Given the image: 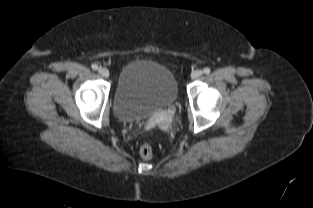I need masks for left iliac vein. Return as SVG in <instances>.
I'll return each instance as SVG.
<instances>
[{
  "instance_id": "1",
  "label": "left iliac vein",
  "mask_w": 313,
  "mask_h": 208,
  "mask_svg": "<svg viewBox=\"0 0 313 208\" xmlns=\"http://www.w3.org/2000/svg\"><path fill=\"white\" fill-rule=\"evenodd\" d=\"M203 75V71L202 70H195L192 72L191 77L192 79H198Z\"/></svg>"
}]
</instances>
